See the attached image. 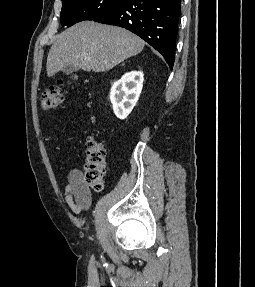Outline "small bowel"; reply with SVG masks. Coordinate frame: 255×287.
I'll use <instances>...</instances> for the list:
<instances>
[{"label": "small bowel", "instance_id": "obj_1", "mask_svg": "<svg viewBox=\"0 0 255 287\" xmlns=\"http://www.w3.org/2000/svg\"><path fill=\"white\" fill-rule=\"evenodd\" d=\"M65 202L75 213L80 214L87 210L91 202V191L84 180L83 172L72 169L68 174V182L63 190Z\"/></svg>", "mask_w": 255, "mask_h": 287}]
</instances>
